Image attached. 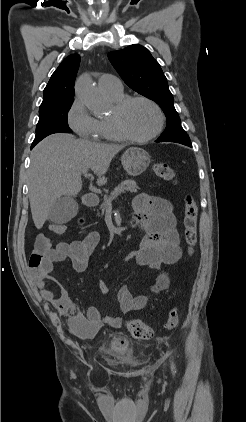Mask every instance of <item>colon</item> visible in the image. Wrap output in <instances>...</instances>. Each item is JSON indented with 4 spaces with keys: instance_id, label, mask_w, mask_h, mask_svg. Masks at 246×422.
Listing matches in <instances>:
<instances>
[{
    "instance_id": "5ec220e1",
    "label": "colon",
    "mask_w": 246,
    "mask_h": 422,
    "mask_svg": "<svg viewBox=\"0 0 246 422\" xmlns=\"http://www.w3.org/2000/svg\"><path fill=\"white\" fill-rule=\"evenodd\" d=\"M153 172L156 176L163 180L175 182L177 175L174 169L165 163H156L153 165ZM197 220H198V206L191 196H186L184 205V239L188 247V252L192 253L197 243ZM49 230L55 235H63L67 228L62 224H51ZM51 251V243L47 236L39 234L36 238L34 249L29 256L28 267L35 279H42L46 276L50 262L48 260L49 252ZM180 319V310L174 307L169 311L166 328L174 329ZM127 328L131 335L138 340H149L153 336L152 328L146 323L139 320H131L127 324ZM123 342V341H122Z\"/></svg>"
}]
</instances>
